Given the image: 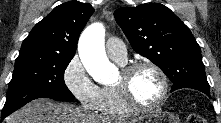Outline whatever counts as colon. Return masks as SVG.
Segmentation results:
<instances>
[{"mask_svg":"<svg viewBox=\"0 0 221 123\" xmlns=\"http://www.w3.org/2000/svg\"><path fill=\"white\" fill-rule=\"evenodd\" d=\"M186 123H205L206 120L204 117L197 113H190L185 120Z\"/></svg>","mask_w":221,"mask_h":123,"instance_id":"obj_1","label":"colon"}]
</instances>
